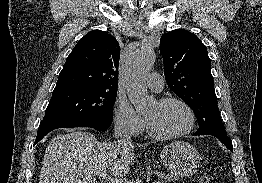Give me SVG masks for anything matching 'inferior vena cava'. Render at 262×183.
<instances>
[{
	"label": "inferior vena cava",
	"mask_w": 262,
	"mask_h": 183,
	"mask_svg": "<svg viewBox=\"0 0 262 183\" xmlns=\"http://www.w3.org/2000/svg\"><path fill=\"white\" fill-rule=\"evenodd\" d=\"M114 137L117 139L120 138V140L123 141H131V137L128 135L126 127L121 123L115 124Z\"/></svg>",
	"instance_id": "inferior-vena-cava-1"
}]
</instances>
